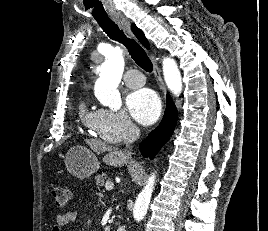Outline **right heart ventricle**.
<instances>
[{
  "mask_svg": "<svg viewBox=\"0 0 268 231\" xmlns=\"http://www.w3.org/2000/svg\"><path fill=\"white\" fill-rule=\"evenodd\" d=\"M79 117L86 126L93 128L96 119V110L90 109L88 104L83 101L79 106Z\"/></svg>",
  "mask_w": 268,
  "mask_h": 231,
  "instance_id": "e07e8e85",
  "label": "right heart ventricle"
}]
</instances>
